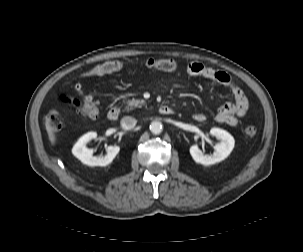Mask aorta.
<instances>
[{"mask_svg": "<svg viewBox=\"0 0 303 252\" xmlns=\"http://www.w3.org/2000/svg\"><path fill=\"white\" fill-rule=\"evenodd\" d=\"M150 131L155 135L160 134L162 131V123L159 121H153L150 125Z\"/></svg>", "mask_w": 303, "mask_h": 252, "instance_id": "obj_1", "label": "aorta"}]
</instances>
